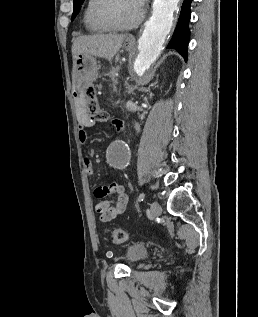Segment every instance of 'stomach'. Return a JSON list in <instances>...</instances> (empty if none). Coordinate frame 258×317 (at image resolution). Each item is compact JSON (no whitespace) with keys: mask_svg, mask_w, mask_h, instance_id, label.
<instances>
[{"mask_svg":"<svg viewBox=\"0 0 258 317\" xmlns=\"http://www.w3.org/2000/svg\"><path fill=\"white\" fill-rule=\"evenodd\" d=\"M134 44L135 40H132L131 36H128L123 46L126 50H132ZM74 62L76 74H96L97 72V60L91 54H86V52L84 54H77Z\"/></svg>","mask_w":258,"mask_h":317,"instance_id":"1","label":"stomach"}]
</instances>
